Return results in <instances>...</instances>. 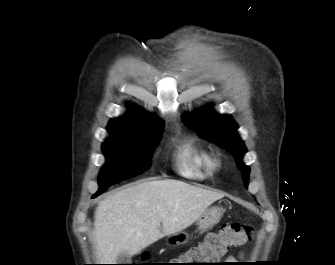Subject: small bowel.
I'll list each match as a JSON object with an SVG mask.
<instances>
[{
    "label": "small bowel",
    "mask_w": 335,
    "mask_h": 265,
    "mask_svg": "<svg viewBox=\"0 0 335 265\" xmlns=\"http://www.w3.org/2000/svg\"><path fill=\"white\" fill-rule=\"evenodd\" d=\"M228 260H233V257H229Z\"/></svg>",
    "instance_id": "obj_1"
}]
</instances>
